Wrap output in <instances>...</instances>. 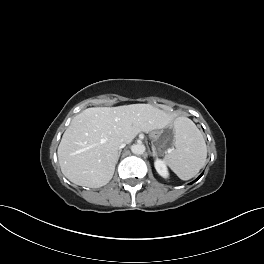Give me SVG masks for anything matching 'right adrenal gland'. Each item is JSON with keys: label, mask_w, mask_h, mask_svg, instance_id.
I'll return each mask as SVG.
<instances>
[{"label": "right adrenal gland", "mask_w": 264, "mask_h": 264, "mask_svg": "<svg viewBox=\"0 0 264 264\" xmlns=\"http://www.w3.org/2000/svg\"><path fill=\"white\" fill-rule=\"evenodd\" d=\"M120 154H121V150L118 152V158L120 157Z\"/></svg>", "instance_id": "2a0ac1e0"}]
</instances>
